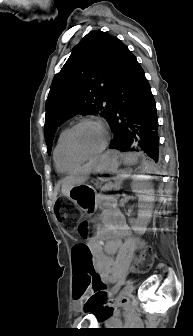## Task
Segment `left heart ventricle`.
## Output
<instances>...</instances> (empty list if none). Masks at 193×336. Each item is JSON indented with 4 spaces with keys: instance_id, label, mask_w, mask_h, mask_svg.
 Listing matches in <instances>:
<instances>
[{
    "instance_id": "b2bd125f",
    "label": "left heart ventricle",
    "mask_w": 193,
    "mask_h": 336,
    "mask_svg": "<svg viewBox=\"0 0 193 336\" xmlns=\"http://www.w3.org/2000/svg\"><path fill=\"white\" fill-rule=\"evenodd\" d=\"M104 141V131L95 123H87L79 127L74 134L76 147L86 153L98 150Z\"/></svg>"
}]
</instances>
